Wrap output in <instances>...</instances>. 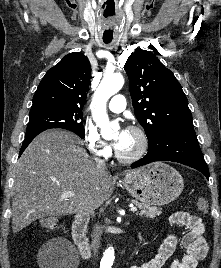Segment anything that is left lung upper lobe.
Returning a JSON list of instances; mask_svg holds the SVG:
<instances>
[{"mask_svg": "<svg viewBox=\"0 0 221 268\" xmlns=\"http://www.w3.org/2000/svg\"><path fill=\"white\" fill-rule=\"evenodd\" d=\"M124 68L130 81L134 113L148 142L171 130L193 128L180 83L152 52L136 50Z\"/></svg>", "mask_w": 221, "mask_h": 268, "instance_id": "obj_1", "label": "left lung upper lobe"}]
</instances>
